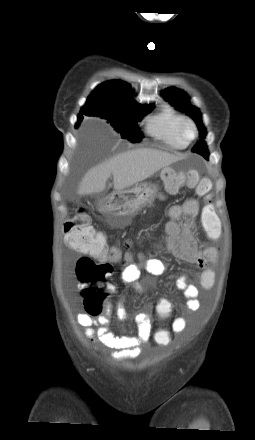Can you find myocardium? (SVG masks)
Here are the masks:
<instances>
[{
    "label": "myocardium",
    "mask_w": 255,
    "mask_h": 440,
    "mask_svg": "<svg viewBox=\"0 0 255 440\" xmlns=\"http://www.w3.org/2000/svg\"><path fill=\"white\" fill-rule=\"evenodd\" d=\"M190 130L189 135L187 131ZM179 135L187 143L195 140L198 136V127L196 123L190 118H184L179 126Z\"/></svg>",
    "instance_id": "myocardium-1"
}]
</instances>
